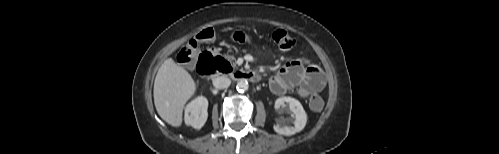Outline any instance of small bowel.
Masks as SVG:
<instances>
[{
    "label": "small bowel",
    "instance_id": "small-bowel-1",
    "mask_svg": "<svg viewBox=\"0 0 499 154\" xmlns=\"http://www.w3.org/2000/svg\"><path fill=\"white\" fill-rule=\"evenodd\" d=\"M234 39L244 42L247 36L243 32H235ZM325 85L322 70L315 64L305 66L301 60H292L270 78L269 86L276 95L285 94L293 89L302 98H308L321 92Z\"/></svg>",
    "mask_w": 499,
    "mask_h": 154
}]
</instances>
